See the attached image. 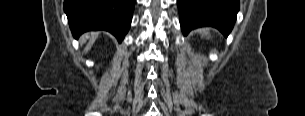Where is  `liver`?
<instances>
[{"label":"liver","instance_id":"obj_1","mask_svg":"<svg viewBox=\"0 0 305 116\" xmlns=\"http://www.w3.org/2000/svg\"><path fill=\"white\" fill-rule=\"evenodd\" d=\"M87 39H88V35H85V36L82 37L81 41L84 42V41H86Z\"/></svg>","mask_w":305,"mask_h":116}]
</instances>
